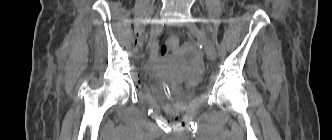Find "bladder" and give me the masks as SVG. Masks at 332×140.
Wrapping results in <instances>:
<instances>
[{
    "label": "bladder",
    "mask_w": 332,
    "mask_h": 140,
    "mask_svg": "<svg viewBox=\"0 0 332 140\" xmlns=\"http://www.w3.org/2000/svg\"><path fill=\"white\" fill-rule=\"evenodd\" d=\"M199 84L200 79L191 78L185 82L184 86L178 92L167 94L163 89L155 87L153 93L162 107L179 111L190 101Z\"/></svg>",
    "instance_id": "obj_1"
}]
</instances>
